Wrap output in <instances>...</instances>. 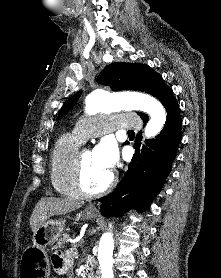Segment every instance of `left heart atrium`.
<instances>
[{
  "mask_svg": "<svg viewBox=\"0 0 221 278\" xmlns=\"http://www.w3.org/2000/svg\"><path fill=\"white\" fill-rule=\"evenodd\" d=\"M93 156L105 169L111 170L117 160V150L110 141H102L94 150Z\"/></svg>",
  "mask_w": 221,
  "mask_h": 278,
  "instance_id": "39dd6f15",
  "label": "left heart atrium"
}]
</instances>
